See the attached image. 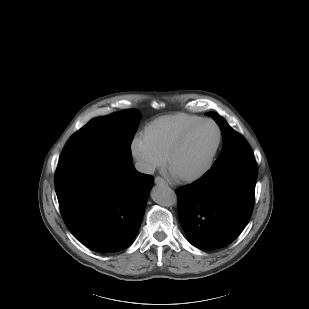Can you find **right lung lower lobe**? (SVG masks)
I'll use <instances>...</instances> for the list:
<instances>
[{"label":"right lung lower lobe","instance_id":"98d812e1","mask_svg":"<svg viewBox=\"0 0 309 309\" xmlns=\"http://www.w3.org/2000/svg\"><path fill=\"white\" fill-rule=\"evenodd\" d=\"M152 185L131 157L97 152L56 178V194L69 231L91 250L111 253L133 243Z\"/></svg>","mask_w":309,"mask_h":309}]
</instances>
